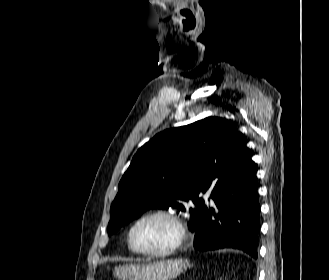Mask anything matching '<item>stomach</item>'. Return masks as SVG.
<instances>
[{
  "mask_svg": "<svg viewBox=\"0 0 329 280\" xmlns=\"http://www.w3.org/2000/svg\"><path fill=\"white\" fill-rule=\"evenodd\" d=\"M189 266V261L183 259L131 263L115 267L114 275L121 280H172Z\"/></svg>",
  "mask_w": 329,
  "mask_h": 280,
  "instance_id": "obj_1",
  "label": "stomach"
}]
</instances>
